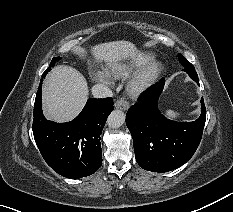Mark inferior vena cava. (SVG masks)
<instances>
[{
  "instance_id": "inferior-vena-cava-1",
  "label": "inferior vena cava",
  "mask_w": 233,
  "mask_h": 212,
  "mask_svg": "<svg viewBox=\"0 0 233 212\" xmlns=\"http://www.w3.org/2000/svg\"><path fill=\"white\" fill-rule=\"evenodd\" d=\"M92 94L94 98H106L112 96V91L104 84H96L92 87Z\"/></svg>"
}]
</instances>
